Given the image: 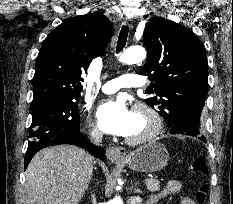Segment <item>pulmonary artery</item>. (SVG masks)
<instances>
[{
  "label": "pulmonary artery",
  "mask_w": 233,
  "mask_h": 204,
  "mask_svg": "<svg viewBox=\"0 0 233 204\" xmlns=\"http://www.w3.org/2000/svg\"><path fill=\"white\" fill-rule=\"evenodd\" d=\"M143 86H145V81L140 76L135 74H124L104 83L101 86V91L105 94H112L120 88Z\"/></svg>",
  "instance_id": "1"
}]
</instances>
